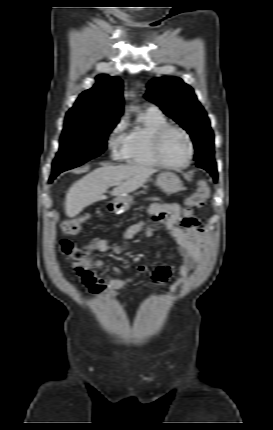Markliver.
Segmentation results:
<instances>
[{"label": "liver", "mask_w": 273, "mask_h": 430, "mask_svg": "<svg viewBox=\"0 0 273 430\" xmlns=\"http://www.w3.org/2000/svg\"><path fill=\"white\" fill-rule=\"evenodd\" d=\"M157 170L144 165H104L77 180L69 188L65 202L68 217H75L79 212L107 197L104 193L111 186H116L114 196H121L137 190Z\"/></svg>", "instance_id": "1"}]
</instances>
